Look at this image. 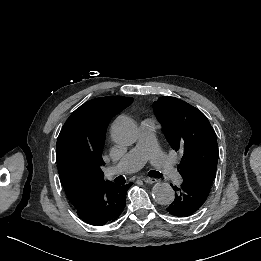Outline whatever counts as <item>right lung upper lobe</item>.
I'll list each match as a JSON object with an SVG mask.
<instances>
[{"mask_svg": "<svg viewBox=\"0 0 261 261\" xmlns=\"http://www.w3.org/2000/svg\"><path fill=\"white\" fill-rule=\"evenodd\" d=\"M133 98L100 97L76 109L65 122L57 139L59 176L70 203L75 206L97 186L104 184L101 153L109 121L128 107ZM82 179L73 177L75 171Z\"/></svg>", "mask_w": 261, "mask_h": 261, "instance_id": "right-lung-upper-lobe-1", "label": "right lung upper lobe"}]
</instances>
